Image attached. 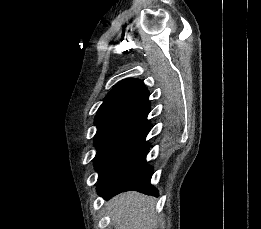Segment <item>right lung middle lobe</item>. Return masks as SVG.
Masks as SVG:
<instances>
[{
  "label": "right lung middle lobe",
  "instance_id": "dd1d6c3e",
  "mask_svg": "<svg viewBox=\"0 0 261 229\" xmlns=\"http://www.w3.org/2000/svg\"><path fill=\"white\" fill-rule=\"evenodd\" d=\"M149 130L136 132L132 137V146L128 149L113 150V149H98L94 160L95 169L99 173V178L108 171L116 162L124 157L131 155L138 150L145 142V137Z\"/></svg>",
  "mask_w": 261,
  "mask_h": 229
}]
</instances>
